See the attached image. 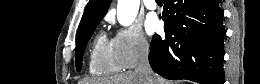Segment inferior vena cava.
<instances>
[{
	"label": "inferior vena cava",
	"instance_id": "1",
	"mask_svg": "<svg viewBox=\"0 0 260 84\" xmlns=\"http://www.w3.org/2000/svg\"><path fill=\"white\" fill-rule=\"evenodd\" d=\"M149 48H142L139 52L135 72L144 78L145 84H156L154 73L149 64Z\"/></svg>",
	"mask_w": 260,
	"mask_h": 84
}]
</instances>
